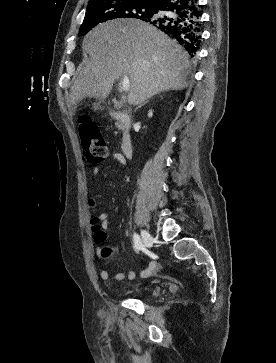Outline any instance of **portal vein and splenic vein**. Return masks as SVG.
I'll return each instance as SVG.
<instances>
[{
  "label": "portal vein and splenic vein",
  "mask_w": 276,
  "mask_h": 363,
  "mask_svg": "<svg viewBox=\"0 0 276 363\" xmlns=\"http://www.w3.org/2000/svg\"><path fill=\"white\" fill-rule=\"evenodd\" d=\"M121 89L123 91H128L130 89V81H129V78L127 76H125L123 78Z\"/></svg>",
  "instance_id": "18ae733b"
}]
</instances>
